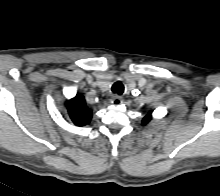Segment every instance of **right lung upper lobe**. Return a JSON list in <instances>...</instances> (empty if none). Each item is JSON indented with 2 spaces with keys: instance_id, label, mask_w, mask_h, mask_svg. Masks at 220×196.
Listing matches in <instances>:
<instances>
[{
  "instance_id": "obj_1",
  "label": "right lung upper lobe",
  "mask_w": 220,
  "mask_h": 196,
  "mask_svg": "<svg viewBox=\"0 0 220 196\" xmlns=\"http://www.w3.org/2000/svg\"><path fill=\"white\" fill-rule=\"evenodd\" d=\"M69 116L76 126H84L90 123L92 110L86 106L85 99L81 94L66 103Z\"/></svg>"
}]
</instances>
